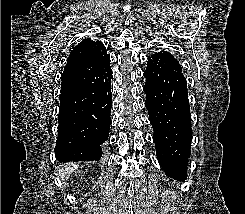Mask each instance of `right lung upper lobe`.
I'll list each match as a JSON object with an SVG mask.
<instances>
[{
  "label": "right lung upper lobe",
  "instance_id": "1",
  "mask_svg": "<svg viewBox=\"0 0 245 214\" xmlns=\"http://www.w3.org/2000/svg\"><path fill=\"white\" fill-rule=\"evenodd\" d=\"M77 56V72L80 85L85 87L97 79L100 69L109 55L100 41H91L90 38L80 42L70 53L69 57Z\"/></svg>",
  "mask_w": 245,
  "mask_h": 214
}]
</instances>
